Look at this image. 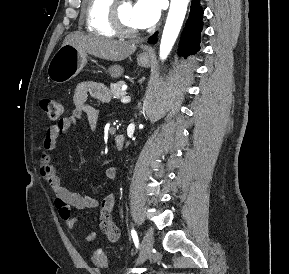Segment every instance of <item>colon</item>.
Wrapping results in <instances>:
<instances>
[{"instance_id":"obj_1","label":"colon","mask_w":289,"mask_h":274,"mask_svg":"<svg viewBox=\"0 0 289 274\" xmlns=\"http://www.w3.org/2000/svg\"><path fill=\"white\" fill-rule=\"evenodd\" d=\"M41 108L52 120L60 118L64 113V105L62 102L53 99L41 100ZM92 261L99 268L107 267V257L101 250H95L92 253Z\"/></svg>"}]
</instances>
